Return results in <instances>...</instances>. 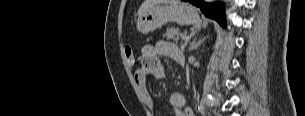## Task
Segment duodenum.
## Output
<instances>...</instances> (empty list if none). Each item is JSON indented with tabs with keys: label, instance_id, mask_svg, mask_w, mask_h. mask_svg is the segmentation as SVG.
Here are the masks:
<instances>
[{
	"label": "duodenum",
	"instance_id": "obj_1",
	"mask_svg": "<svg viewBox=\"0 0 305 116\" xmlns=\"http://www.w3.org/2000/svg\"><path fill=\"white\" fill-rule=\"evenodd\" d=\"M178 62H179L181 65H183V64H184V58H183V57L179 58V59H178Z\"/></svg>",
	"mask_w": 305,
	"mask_h": 116
}]
</instances>
